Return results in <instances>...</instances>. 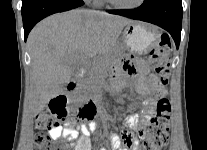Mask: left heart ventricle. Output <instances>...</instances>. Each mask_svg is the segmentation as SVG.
<instances>
[{"instance_id":"left-heart-ventricle-1","label":"left heart ventricle","mask_w":207,"mask_h":150,"mask_svg":"<svg viewBox=\"0 0 207 150\" xmlns=\"http://www.w3.org/2000/svg\"><path fill=\"white\" fill-rule=\"evenodd\" d=\"M115 1L122 5H132L137 3L138 0H115Z\"/></svg>"}]
</instances>
